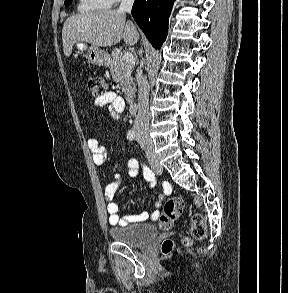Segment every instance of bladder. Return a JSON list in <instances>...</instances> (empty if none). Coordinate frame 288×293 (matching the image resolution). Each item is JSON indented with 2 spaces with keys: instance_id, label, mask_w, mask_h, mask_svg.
Masks as SVG:
<instances>
[{
  "instance_id": "1",
  "label": "bladder",
  "mask_w": 288,
  "mask_h": 293,
  "mask_svg": "<svg viewBox=\"0 0 288 293\" xmlns=\"http://www.w3.org/2000/svg\"><path fill=\"white\" fill-rule=\"evenodd\" d=\"M110 236L117 242L131 247H139L150 242L157 236V228L151 224H131L112 227Z\"/></svg>"
}]
</instances>
